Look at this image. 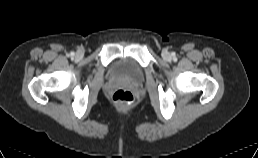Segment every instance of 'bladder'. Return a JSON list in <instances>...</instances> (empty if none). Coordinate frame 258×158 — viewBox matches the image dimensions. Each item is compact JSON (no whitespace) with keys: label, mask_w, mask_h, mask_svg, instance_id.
Segmentation results:
<instances>
[{"label":"bladder","mask_w":258,"mask_h":158,"mask_svg":"<svg viewBox=\"0 0 258 158\" xmlns=\"http://www.w3.org/2000/svg\"><path fill=\"white\" fill-rule=\"evenodd\" d=\"M112 73L116 77L139 80L143 76V69L134 60L122 58L114 62Z\"/></svg>","instance_id":"bladder-1"}]
</instances>
